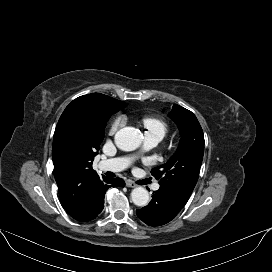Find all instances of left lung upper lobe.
Wrapping results in <instances>:
<instances>
[{
	"instance_id": "left-lung-upper-lobe-1",
	"label": "left lung upper lobe",
	"mask_w": 272,
	"mask_h": 272,
	"mask_svg": "<svg viewBox=\"0 0 272 272\" xmlns=\"http://www.w3.org/2000/svg\"><path fill=\"white\" fill-rule=\"evenodd\" d=\"M169 117L177 124L181 139L170 160L152 169L160 179V188L186 203L197 183L204 153V134L196 116L189 110L174 105Z\"/></svg>"
}]
</instances>
